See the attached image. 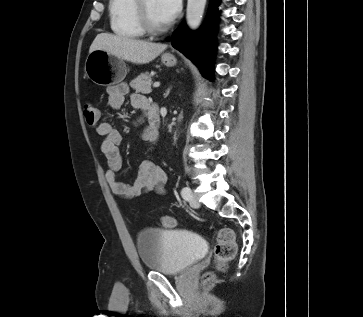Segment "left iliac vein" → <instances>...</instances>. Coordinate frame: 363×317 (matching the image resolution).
<instances>
[{"label":"left iliac vein","instance_id":"obj_1","mask_svg":"<svg viewBox=\"0 0 363 317\" xmlns=\"http://www.w3.org/2000/svg\"><path fill=\"white\" fill-rule=\"evenodd\" d=\"M189 204L193 208H198L200 206V203L197 199V197L191 192V197L189 199Z\"/></svg>","mask_w":363,"mask_h":317}]
</instances>
